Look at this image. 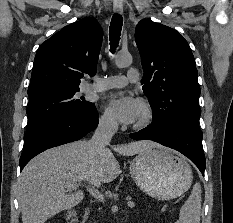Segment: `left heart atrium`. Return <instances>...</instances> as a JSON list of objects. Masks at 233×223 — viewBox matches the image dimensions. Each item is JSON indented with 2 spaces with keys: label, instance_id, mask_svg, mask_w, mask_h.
Returning a JSON list of instances; mask_svg holds the SVG:
<instances>
[{
  "label": "left heart atrium",
  "instance_id": "39dd6f15",
  "mask_svg": "<svg viewBox=\"0 0 233 223\" xmlns=\"http://www.w3.org/2000/svg\"><path fill=\"white\" fill-rule=\"evenodd\" d=\"M109 111L119 122L130 125L138 121L143 106L140 99L134 96H126L113 100L110 103Z\"/></svg>",
  "mask_w": 233,
  "mask_h": 223
}]
</instances>
